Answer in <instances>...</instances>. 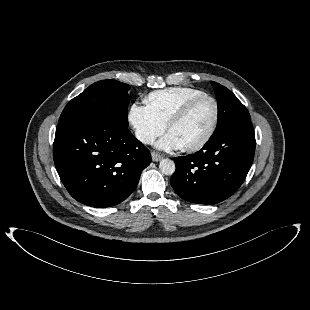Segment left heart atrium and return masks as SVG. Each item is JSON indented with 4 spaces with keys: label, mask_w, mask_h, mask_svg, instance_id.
Returning <instances> with one entry per match:
<instances>
[{
    "label": "left heart atrium",
    "mask_w": 310,
    "mask_h": 310,
    "mask_svg": "<svg viewBox=\"0 0 310 310\" xmlns=\"http://www.w3.org/2000/svg\"><path fill=\"white\" fill-rule=\"evenodd\" d=\"M156 147L163 151H172L181 148L182 145L175 134L169 131L156 143Z\"/></svg>",
    "instance_id": "obj_1"
}]
</instances>
